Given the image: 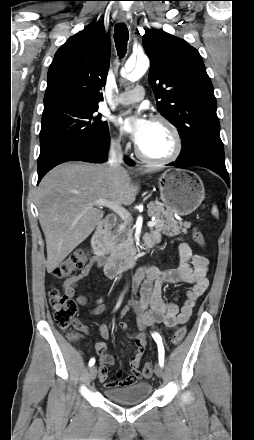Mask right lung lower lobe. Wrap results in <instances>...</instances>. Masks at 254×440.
<instances>
[{
  "instance_id": "right-lung-lower-lobe-1",
  "label": "right lung lower lobe",
  "mask_w": 254,
  "mask_h": 440,
  "mask_svg": "<svg viewBox=\"0 0 254 440\" xmlns=\"http://www.w3.org/2000/svg\"><path fill=\"white\" fill-rule=\"evenodd\" d=\"M109 134L98 142H89L82 146L65 151L62 154L49 159L45 165L38 170V183L43 176L53 167L67 161H85L91 163H100L107 160V152L109 149ZM125 161L129 165H133V161L125 157Z\"/></svg>"
}]
</instances>
